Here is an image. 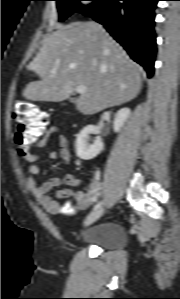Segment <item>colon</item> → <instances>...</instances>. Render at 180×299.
<instances>
[{
	"mask_svg": "<svg viewBox=\"0 0 180 299\" xmlns=\"http://www.w3.org/2000/svg\"><path fill=\"white\" fill-rule=\"evenodd\" d=\"M13 118L17 124L15 143L21 154H29L47 125V115L37 105L21 102L15 107Z\"/></svg>",
	"mask_w": 180,
	"mask_h": 299,
	"instance_id": "5ec220e1",
	"label": "colon"
}]
</instances>
